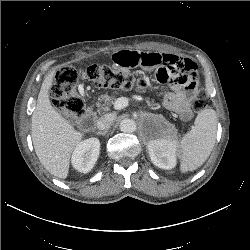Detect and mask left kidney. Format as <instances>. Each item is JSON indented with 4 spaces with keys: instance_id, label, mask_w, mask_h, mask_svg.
<instances>
[{
    "instance_id": "1",
    "label": "left kidney",
    "mask_w": 250,
    "mask_h": 250,
    "mask_svg": "<svg viewBox=\"0 0 250 250\" xmlns=\"http://www.w3.org/2000/svg\"><path fill=\"white\" fill-rule=\"evenodd\" d=\"M152 163L161 168L170 170L176 166L178 142L170 136L152 140L147 145Z\"/></svg>"
}]
</instances>
